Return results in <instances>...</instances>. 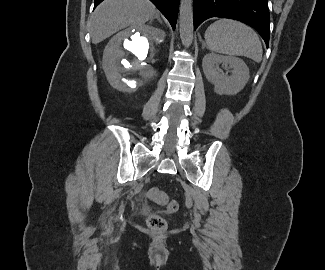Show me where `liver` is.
Returning a JSON list of instances; mask_svg holds the SVG:
<instances>
[{
    "label": "liver",
    "mask_w": 325,
    "mask_h": 270,
    "mask_svg": "<svg viewBox=\"0 0 325 270\" xmlns=\"http://www.w3.org/2000/svg\"><path fill=\"white\" fill-rule=\"evenodd\" d=\"M156 14L149 0H105L90 19V34L98 44L128 26H141Z\"/></svg>",
    "instance_id": "1"
}]
</instances>
